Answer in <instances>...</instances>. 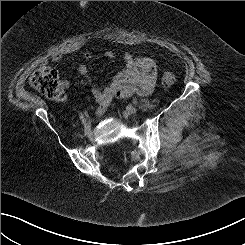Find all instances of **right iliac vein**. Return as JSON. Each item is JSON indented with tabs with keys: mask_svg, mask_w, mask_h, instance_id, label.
Listing matches in <instances>:
<instances>
[{
	"mask_svg": "<svg viewBox=\"0 0 245 245\" xmlns=\"http://www.w3.org/2000/svg\"><path fill=\"white\" fill-rule=\"evenodd\" d=\"M81 123H82L84 126H86V125L88 124V122H87V120H86L85 118L82 119Z\"/></svg>",
	"mask_w": 245,
	"mask_h": 245,
	"instance_id": "obj_1",
	"label": "right iliac vein"
}]
</instances>
